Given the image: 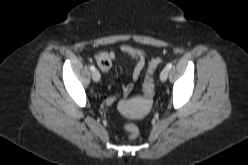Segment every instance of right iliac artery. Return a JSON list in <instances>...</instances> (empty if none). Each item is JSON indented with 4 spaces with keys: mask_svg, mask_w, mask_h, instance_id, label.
I'll list each match as a JSON object with an SVG mask.
<instances>
[{
    "mask_svg": "<svg viewBox=\"0 0 248 165\" xmlns=\"http://www.w3.org/2000/svg\"><path fill=\"white\" fill-rule=\"evenodd\" d=\"M90 70H91V71H95V66H94V65H91V66H90Z\"/></svg>",
    "mask_w": 248,
    "mask_h": 165,
    "instance_id": "1",
    "label": "right iliac artery"
}]
</instances>
